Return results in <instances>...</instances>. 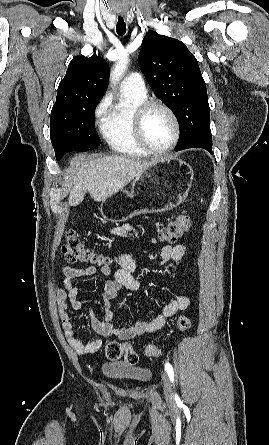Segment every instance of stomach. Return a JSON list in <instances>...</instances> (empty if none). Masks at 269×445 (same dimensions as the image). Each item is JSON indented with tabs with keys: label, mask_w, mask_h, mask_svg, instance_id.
I'll return each mask as SVG.
<instances>
[{
	"label": "stomach",
	"mask_w": 269,
	"mask_h": 445,
	"mask_svg": "<svg viewBox=\"0 0 269 445\" xmlns=\"http://www.w3.org/2000/svg\"><path fill=\"white\" fill-rule=\"evenodd\" d=\"M193 171L174 158L155 161L132 183L131 192L120 191L102 201L101 214L111 222H125L140 214L161 213L187 197Z\"/></svg>",
	"instance_id": "stomach-1"
}]
</instances>
